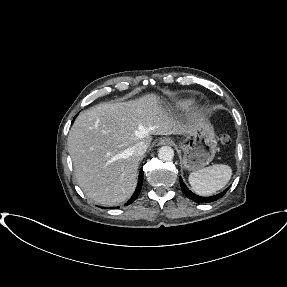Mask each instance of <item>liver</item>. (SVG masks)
Segmentation results:
<instances>
[{
  "instance_id": "6515ba94",
  "label": "liver",
  "mask_w": 287,
  "mask_h": 287,
  "mask_svg": "<svg viewBox=\"0 0 287 287\" xmlns=\"http://www.w3.org/2000/svg\"><path fill=\"white\" fill-rule=\"evenodd\" d=\"M156 93L126 102H104L82 112L68 135L76 180L93 201L115 206L134 192L140 157L132 153L152 135L189 134L199 120L180 125Z\"/></svg>"
}]
</instances>
